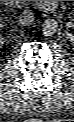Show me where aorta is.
Masks as SVG:
<instances>
[{
  "instance_id": "1",
  "label": "aorta",
  "mask_w": 74,
  "mask_h": 122,
  "mask_svg": "<svg viewBox=\"0 0 74 122\" xmlns=\"http://www.w3.org/2000/svg\"><path fill=\"white\" fill-rule=\"evenodd\" d=\"M58 28L57 22L54 19H46L42 25L43 34L46 36H52L56 33Z\"/></svg>"
}]
</instances>
